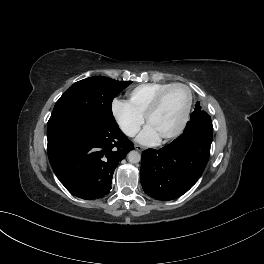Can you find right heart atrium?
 Listing matches in <instances>:
<instances>
[{"label": "right heart atrium", "instance_id": "right-heart-atrium-1", "mask_svg": "<svg viewBox=\"0 0 264 264\" xmlns=\"http://www.w3.org/2000/svg\"><path fill=\"white\" fill-rule=\"evenodd\" d=\"M112 114L120 130L128 137L136 135L144 122L143 116L125 100L115 99L113 101Z\"/></svg>", "mask_w": 264, "mask_h": 264}]
</instances>
